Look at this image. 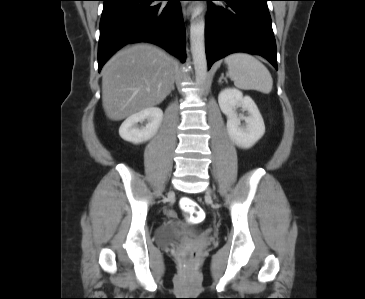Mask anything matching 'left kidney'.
<instances>
[{"label":"left kidney","instance_id":"5707ae66","mask_svg":"<svg viewBox=\"0 0 365 299\" xmlns=\"http://www.w3.org/2000/svg\"><path fill=\"white\" fill-rule=\"evenodd\" d=\"M221 111L227 116V131L235 144L242 148L252 147L265 133L263 118L249 96L236 89H224L218 96ZM242 108L248 116H238L236 110ZM241 120L245 121L241 125Z\"/></svg>","mask_w":365,"mask_h":299}]
</instances>
